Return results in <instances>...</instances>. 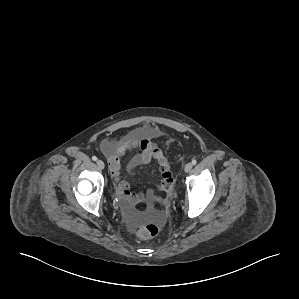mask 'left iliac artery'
I'll list each match as a JSON object with an SVG mask.
<instances>
[{"label":"left iliac artery","mask_w":299,"mask_h":299,"mask_svg":"<svg viewBox=\"0 0 299 299\" xmlns=\"http://www.w3.org/2000/svg\"><path fill=\"white\" fill-rule=\"evenodd\" d=\"M197 163V161L194 159L192 160V164L195 165Z\"/></svg>","instance_id":"1"}]
</instances>
